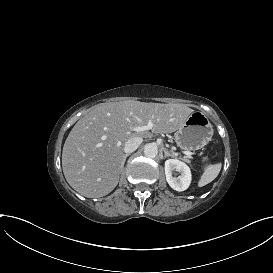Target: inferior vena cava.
Here are the masks:
<instances>
[{
  "instance_id": "inferior-vena-cava-1",
  "label": "inferior vena cava",
  "mask_w": 273,
  "mask_h": 273,
  "mask_svg": "<svg viewBox=\"0 0 273 273\" xmlns=\"http://www.w3.org/2000/svg\"><path fill=\"white\" fill-rule=\"evenodd\" d=\"M143 139L141 137H132L130 138L124 146L125 153H132L134 152L139 145L142 143Z\"/></svg>"
}]
</instances>
